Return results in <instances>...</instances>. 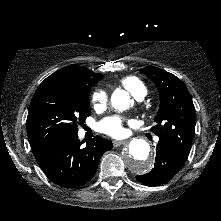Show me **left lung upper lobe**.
<instances>
[{"mask_svg": "<svg viewBox=\"0 0 221 221\" xmlns=\"http://www.w3.org/2000/svg\"><path fill=\"white\" fill-rule=\"evenodd\" d=\"M140 72L148 75L159 90L160 106L151 131L187 159L195 134V108L185 84L175 75L153 66Z\"/></svg>", "mask_w": 221, "mask_h": 221, "instance_id": "obj_1", "label": "left lung upper lobe"}]
</instances>
